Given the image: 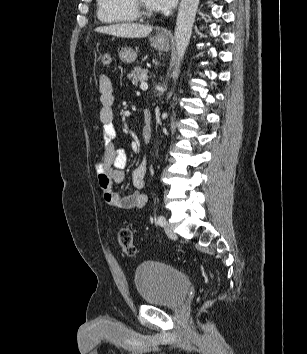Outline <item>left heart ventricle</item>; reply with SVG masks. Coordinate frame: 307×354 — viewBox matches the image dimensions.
Returning a JSON list of instances; mask_svg holds the SVG:
<instances>
[{"label":"left heart ventricle","mask_w":307,"mask_h":354,"mask_svg":"<svg viewBox=\"0 0 307 354\" xmlns=\"http://www.w3.org/2000/svg\"><path fill=\"white\" fill-rule=\"evenodd\" d=\"M142 4L149 10H154L150 4V0H141Z\"/></svg>","instance_id":"b2bd125f"}]
</instances>
